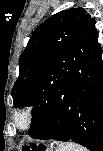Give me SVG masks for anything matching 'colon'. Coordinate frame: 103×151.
<instances>
[{
    "label": "colon",
    "instance_id": "colon-1",
    "mask_svg": "<svg viewBox=\"0 0 103 151\" xmlns=\"http://www.w3.org/2000/svg\"><path fill=\"white\" fill-rule=\"evenodd\" d=\"M23 151H44V148H42V147H38V148L25 147Z\"/></svg>",
    "mask_w": 103,
    "mask_h": 151
}]
</instances>
